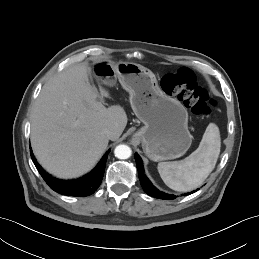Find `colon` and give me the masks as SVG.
<instances>
[{
	"label": "colon",
	"mask_w": 259,
	"mask_h": 259,
	"mask_svg": "<svg viewBox=\"0 0 259 259\" xmlns=\"http://www.w3.org/2000/svg\"><path fill=\"white\" fill-rule=\"evenodd\" d=\"M161 86L167 94L182 101L193 114L201 117L211 115L215 102L207 91L199 86L196 76L188 68L165 72Z\"/></svg>",
	"instance_id": "5ec220e1"
}]
</instances>
